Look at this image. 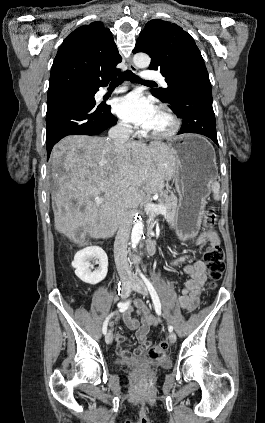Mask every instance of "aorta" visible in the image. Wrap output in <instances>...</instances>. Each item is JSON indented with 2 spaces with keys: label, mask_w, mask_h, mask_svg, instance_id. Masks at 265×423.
Returning a JSON list of instances; mask_svg holds the SVG:
<instances>
[{
  "label": "aorta",
  "mask_w": 265,
  "mask_h": 423,
  "mask_svg": "<svg viewBox=\"0 0 265 423\" xmlns=\"http://www.w3.org/2000/svg\"><path fill=\"white\" fill-rule=\"evenodd\" d=\"M134 64L139 68H146L150 64V57L144 53H137L133 57ZM143 222L141 220H137L132 228L131 233V246L132 248H136L138 243L141 240L143 234Z\"/></svg>",
  "instance_id": "obj_1"
}]
</instances>
